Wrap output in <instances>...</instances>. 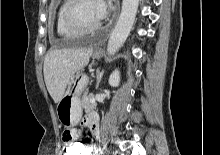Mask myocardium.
I'll list each match as a JSON object with an SVG mask.
<instances>
[{"label":"myocardium","mask_w":220,"mask_h":155,"mask_svg":"<svg viewBox=\"0 0 220 155\" xmlns=\"http://www.w3.org/2000/svg\"><path fill=\"white\" fill-rule=\"evenodd\" d=\"M81 2L82 0H69L63 11V22L65 26L69 30L79 34L90 33L98 30L102 26V21L95 25H85L78 20L76 11Z\"/></svg>","instance_id":"1"}]
</instances>
